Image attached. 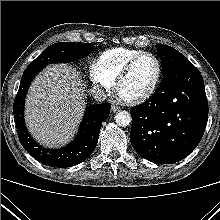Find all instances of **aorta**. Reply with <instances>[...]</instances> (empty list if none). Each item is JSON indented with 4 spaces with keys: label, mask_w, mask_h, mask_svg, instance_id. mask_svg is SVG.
Returning <instances> with one entry per match:
<instances>
[{
    "label": "aorta",
    "mask_w": 220,
    "mask_h": 220,
    "mask_svg": "<svg viewBox=\"0 0 220 220\" xmlns=\"http://www.w3.org/2000/svg\"><path fill=\"white\" fill-rule=\"evenodd\" d=\"M116 123L121 127L129 126L132 118L129 112L127 111H120L115 116Z\"/></svg>",
    "instance_id": "1"
}]
</instances>
